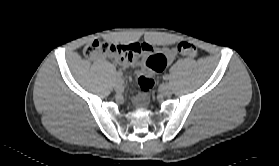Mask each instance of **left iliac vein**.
Masks as SVG:
<instances>
[{"label": "left iliac vein", "instance_id": "obj_1", "mask_svg": "<svg viewBox=\"0 0 279 166\" xmlns=\"http://www.w3.org/2000/svg\"><path fill=\"white\" fill-rule=\"evenodd\" d=\"M161 91H162V93H164L166 95H171L173 92V89H172L171 85L166 83V84L162 85Z\"/></svg>", "mask_w": 279, "mask_h": 166}]
</instances>
